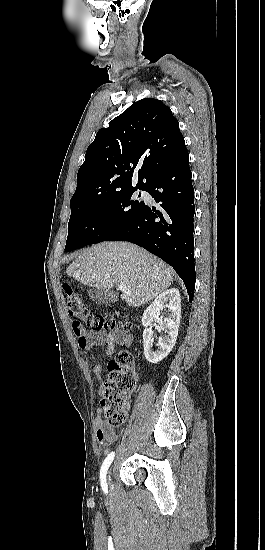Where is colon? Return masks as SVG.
Wrapping results in <instances>:
<instances>
[{
  "instance_id": "colon-1",
  "label": "colon",
  "mask_w": 265,
  "mask_h": 550,
  "mask_svg": "<svg viewBox=\"0 0 265 550\" xmlns=\"http://www.w3.org/2000/svg\"><path fill=\"white\" fill-rule=\"evenodd\" d=\"M63 289L67 297V308L76 325L85 323L93 330H126L128 325L106 319L100 314L89 311L83 298L69 284ZM109 375L103 388L101 407L104 423L108 428L122 426L128 416L129 396L137 385L134 358L131 352L120 351L108 364Z\"/></svg>"
}]
</instances>
